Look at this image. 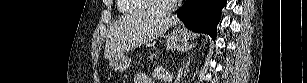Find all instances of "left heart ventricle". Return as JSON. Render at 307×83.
<instances>
[{
	"mask_svg": "<svg viewBox=\"0 0 307 83\" xmlns=\"http://www.w3.org/2000/svg\"><path fill=\"white\" fill-rule=\"evenodd\" d=\"M171 0H160L159 3L161 5H166L167 3H169Z\"/></svg>",
	"mask_w": 307,
	"mask_h": 83,
	"instance_id": "left-heart-ventricle-1",
	"label": "left heart ventricle"
}]
</instances>
